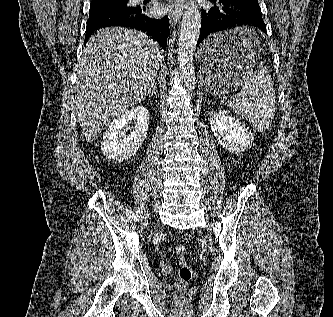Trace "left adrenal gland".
I'll list each match as a JSON object with an SVG mask.
<instances>
[{"mask_svg": "<svg viewBox=\"0 0 333 317\" xmlns=\"http://www.w3.org/2000/svg\"><path fill=\"white\" fill-rule=\"evenodd\" d=\"M209 102V104H212V101H208Z\"/></svg>", "mask_w": 333, "mask_h": 317, "instance_id": "left-adrenal-gland-1", "label": "left adrenal gland"}]
</instances>
